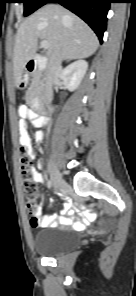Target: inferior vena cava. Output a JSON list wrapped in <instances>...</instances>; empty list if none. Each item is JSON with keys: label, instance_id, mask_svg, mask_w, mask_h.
I'll list each match as a JSON object with an SVG mask.
<instances>
[{"label": "inferior vena cava", "instance_id": "obj_1", "mask_svg": "<svg viewBox=\"0 0 136 296\" xmlns=\"http://www.w3.org/2000/svg\"><path fill=\"white\" fill-rule=\"evenodd\" d=\"M62 57L60 51H57L51 58L48 65V71L46 74L45 89H44V103L49 105L53 98L52 82L53 78L61 71Z\"/></svg>", "mask_w": 136, "mask_h": 296}]
</instances>
